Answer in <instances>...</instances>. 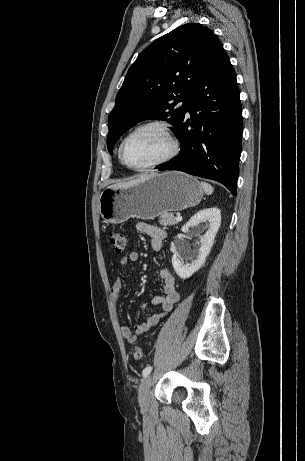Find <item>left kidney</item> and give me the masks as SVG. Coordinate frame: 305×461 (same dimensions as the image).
<instances>
[{
    "instance_id": "left-kidney-1",
    "label": "left kidney",
    "mask_w": 305,
    "mask_h": 461,
    "mask_svg": "<svg viewBox=\"0 0 305 461\" xmlns=\"http://www.w3.org/2000/svg\"><path fill=\"white\" fill-rule=\"evenodd\" d=\"M221 224L220 209L213 207L203 209L194 214L190 220L182 227V232L188 233L189 228L206 230L205 233L199 236L200 246L197 254L194 255L190 264L184 263L186 254H190L191 250L187 244L180 243L177 251L172 256V265L177 275L182 279L191 277L205 263L206 257L209 255L213 245L215 236Z\"/></svg>"
}]
</instances>
